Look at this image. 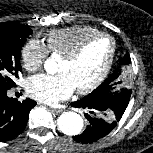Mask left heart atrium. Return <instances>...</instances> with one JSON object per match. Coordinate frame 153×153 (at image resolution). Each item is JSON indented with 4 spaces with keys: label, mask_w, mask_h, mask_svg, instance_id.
<instances>
[{
    "label": "left heart atrium",
    "mask_w": 153,
    "mask_h": 153,
    "mask_svg": "<svg viewBox=\"0 0 153 153\" xmlns=\"http://www.w3.org/2000/svg\"><path fill=\"white\" fill-rule=\"evenodd\" d=\"M73 90L71 81L64 73L39 74L31 77L27 84V91L32 98L49 105L69 98Z\"/></svg>",
    "instance_id": "1"
}]
</instances>
